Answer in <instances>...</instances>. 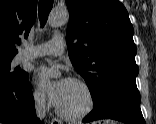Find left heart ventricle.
<instances>
[{"label": "left heart ventricle", "instance_id": "1", "mask_svg": "<svg viewBox=\"0 0 156 124\" xmlns=\"http://www.w3.org/2000/svg\"><path fill=\"white\" fill-rule=\"evenodd\" d=\"M88 103L87 94L78 84L69 80L64 92L57 102L58 106L67 113H78L82 111Z\"/></svg>", "mask_w": 156, "mask_h": 124}]
</instances>
